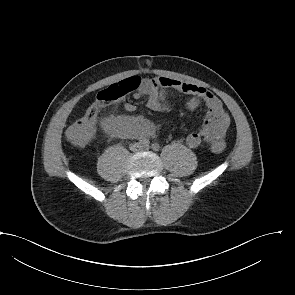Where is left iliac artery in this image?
<instances>
[{
	"mask_svg": "<svg viewBox=\"0 0 295 295\" xmlns=\"http://www.w3.org/2000/svg\"><path fill=\"white\" fill-rule=\"evenodd\" d=\"M151 148H152L154 151H159V150H160V145H159L157 142H154V143L151 145Z\"/></svg>",
	"mask_w": 295,
	"mask_h": 295,
	"instance_id": "1",
	"label": "left iliac artery"
}]
</instances>
